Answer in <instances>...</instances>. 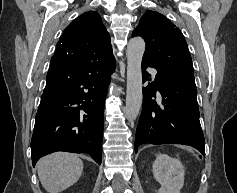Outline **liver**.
Here are the masks:
<instances>
[{"label":"liver","mask_w":237,"mask_h":193,"mask_svg":"<svg viewBox=\"0 0 237 193\" xmlns=\"http://www.w3.org/2000/svg\"><path fill=\"white\" fill-rule=\"evenodd\" d=\"M43 188L48 193H59L76 183L83 172V162L75 154L56 152L37 162Z\"/></svg>","instance_id":"1"}]
</instances>
